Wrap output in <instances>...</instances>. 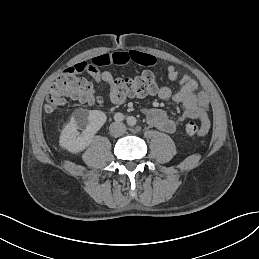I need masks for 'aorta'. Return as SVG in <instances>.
<instances>
[{
	"instance_id": "762f6f07",
	"label": "aorta",
	"mask_w": 259,
	"mask_h": 259,
	"mask_svg": "<svg viewBox=\"0 0 259 259\" xmlns=\"http://www.w3.org/2000/svg\"><path fill=\"white\" fill-rule=\"evenodd\" d=\"M134 121H135V118H134V117H130V118L128 119V122H129L130 124H132Z\"/></svg>"
}]
</instances>
